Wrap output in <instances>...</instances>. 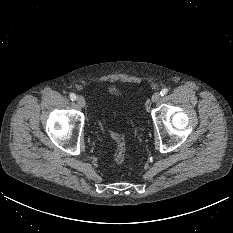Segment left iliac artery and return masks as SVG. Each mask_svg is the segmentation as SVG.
<instances>
[{"mask_svg": "<svg viewBox=\"0 0 233 233\" xmlns=\"http://www.w3.org/2000/svg\"><path fill=\"white\" fill-rule=\"evenodd\" d=\"M168 93V89L164 88L161 90L160 94L161 96H165Z\"/></svg>", "mask_w": 233, "mask_h": 233, "instance_id": "left-iliac-artery-1", "label": "left iliac artery"}]
</instances>
